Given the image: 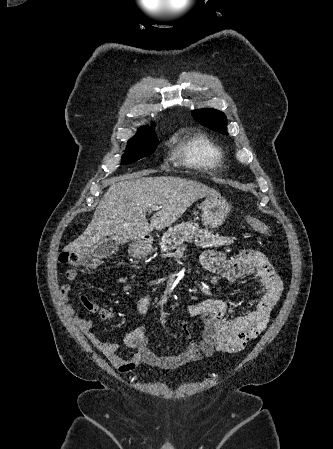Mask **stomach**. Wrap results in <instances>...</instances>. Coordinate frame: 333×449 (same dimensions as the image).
<instances>
[{
  "label": "stomach",
  "mask_w": 333,
  "mask_h": 449,
  "mask_svg": "<svg viewBox=\"0 0 333 449\" xmlns=\"http://www.w3.org/2000/svg\"><path fill=\"white\" fill-rule=\"evenodd\" d=\"M231 211L229 203L221 196L207 197L202 203V223L209 228H217L223 224ZM150 242L136 240L130 246V253L134 257H144L151 252Z\"/></svg>",
  "instance_id": "1"
}]
</instances>
